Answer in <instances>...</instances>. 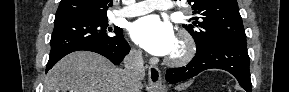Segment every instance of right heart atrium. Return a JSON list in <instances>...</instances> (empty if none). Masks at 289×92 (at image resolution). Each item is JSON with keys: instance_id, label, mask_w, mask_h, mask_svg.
I'll list each match as a JSON object with an SVG mask.
<instances>
[{"instance_id": "d8ad5b80", "label": "right heart atrium", "mask_w": 289, "mask_h": 92, "mask_svg": "<svg viewBox=\"0 0 289 92\" xmlns=\"http://www.w3.org/2000/svg\"><path fill=\"white\" fill-rule=\"evenodd\" d=\"M130 56L131 58H133L134 60H140L141 59V51L139 49H137L136 47H132L130 49Z\"/></svg>"}]
</instances>
